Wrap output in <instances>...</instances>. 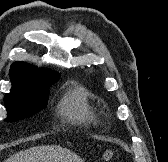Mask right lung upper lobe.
I'll list each match as a JSON object with an SVG mask.
<instances>
[{
	"mask_svg": "<svg viewBox=\"0 0 168 162\" xmlns=\"http://www.w3.org/2000/svg\"><path fill=\"white\" fill-rule=\"evenodd\" d=\"M9 75L11 77L12 89L14 91L22 86L31 84H45L58 80L59 74L43 71L25 62L12 64Z\"/></svg>",
	"mask_w": 168,
	"mask_h": 162,
	"instance_id": "obj_1",
	"label": "right lung upper lobe"
}]
</instances>
